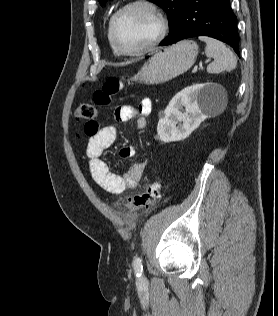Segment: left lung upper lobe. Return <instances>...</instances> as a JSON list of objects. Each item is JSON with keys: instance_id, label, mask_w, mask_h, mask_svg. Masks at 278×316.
<instances>
[{"instance_id": "left-lung-upper-lobe-1", "label": "left lung upper lobe", "mask_w": 278, "mask_h": 316, "mask_svg": "<svg viewBox=\"0 0 278 316\" xmlns=\"http://www.w3.org/2000/svg\"><path fill=\"white\" fill-rule=\"evenodd\" d=\"M101 5H103L106 0H98ZM155 3L156 5L160 6L164 11L167 13V17L170 24V33L174 29L179 14L182 10L183 4L185 0H149Z\"/></svg>"}]
</instances>
